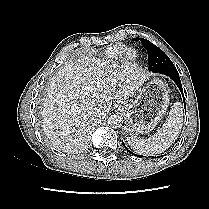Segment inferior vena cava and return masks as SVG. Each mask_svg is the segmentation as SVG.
<instances>
[{
  "label": "inferior vena cava",
  "mask_w": 209,
  "mask_h": 209,
  "mask_svg": "<svg viewBox=\"0 0 209 209\" xmlns=\"http://www.w3.org/2000/svg\"><path fill=\"white\" fill-rule=\"evenodd\" d=\"M93 116L94 117H100L101 116V110L100 109H93Z\"/></svg>",
  "instance_id": "obj_1"
}]
</instances>
